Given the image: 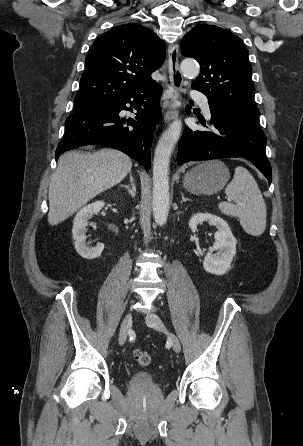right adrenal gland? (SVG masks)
Listing matches in <instances>:
<instances>
[{"label": "right adrenal gland", "instance_id": "obj_1", "mask_svg": "<svg viewBox=\"0 0 303 446\" xmlns=\"http://www.w3.org/2000/svg\"><path fill=\"white\" fill-rule=\"evenodd\" d=\"M129 178H130V184L129 185L121 184V187H124L127 190L129 195H131L132 197H135L136 185H135V179H134L131 171L129 172Z\"/></svg>", "mask_w": 303, "mask_h": 446}]
</instances>
